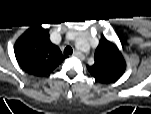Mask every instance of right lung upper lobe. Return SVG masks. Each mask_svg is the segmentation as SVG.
Instances as JSON below:
<instances>
[{
	"label": "right lung upper lobe",
	"mask_w": 151,
	"mask_h": 114,
	"mask_svg": "<svg viewBox=\"0 0 151 114\" xmlns=\"http://www.w3.org/2000/svg\"><path fill=\"white\" fill-rule=\"evenodd\" d=\"M20 67L35 76L50 74L64 59L61 50L51 43L48 30L29 29L14 46Z\"/></svg>",
	"instance_id": "obj_1"
}]
</instances>
